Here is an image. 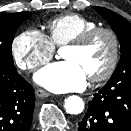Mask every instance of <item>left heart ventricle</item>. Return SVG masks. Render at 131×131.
Here are the masks:
<instances>
[{
    "label": "left heart ventricle",
    "instance_id": "obj_1",
    "mask_svg": "<svg viewBox=\"0 0 131 131\" xmlns=\"http://www.w3.org/2000/svg\"><path fill=\"white\" fill-rule=\"evenodd\" d=\"M111 53L110 38L105 34H99L83 48H64L62 58L78 64L89 78L105 69L109 63Z\"/></svg>",
    "mask_w": 131,
    "mask_h": 131
}]
</instances>
